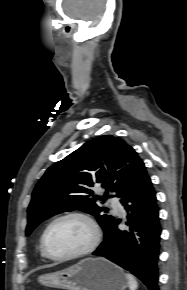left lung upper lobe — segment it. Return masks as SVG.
<instances>
[{"mask_svg":"<svg viewBox=\"0 0 187 290\" xmlns=\"http://www.w3.org/2000/svg\"><path fill=\"white\" fill-rule=\"evenodd\" d=\"M145 175L143 161L124 140L103 135L86 142L48 168L37 183L28 207L26 235L43 220L73 210L94 215L105 231L114 218L102 214L106 210L96 200H106L108 190L122 198ZM95 184L107 189L103 197L93 196Z\"/></svg>","mask_w":187,"mask_h":290,"instance_id":"obj_1","label":"left lung upper lobe"}]
</instances>
